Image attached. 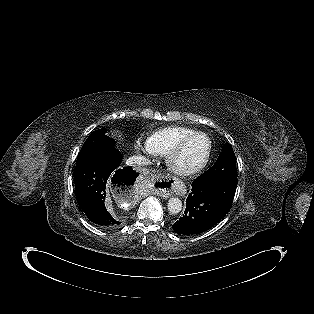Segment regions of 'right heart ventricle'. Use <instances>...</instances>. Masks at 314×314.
Masks as SVG:
<instances>
[{"label":"right heart ventricle","instance_id":"obj_1","mask_svg":"<svg viewBox=\"0 0 314 314\" xmlns=\"http://www.w3.org/2000/svg\"><path fill=\"white\" fill-rule=\"evenodd\" d=\"M197 132L194 129L173 126L151 133L146 143L154 156L168 155L186 136Z\"/></svg>","mask_w":314,"mask_h":314}]
</instances>
